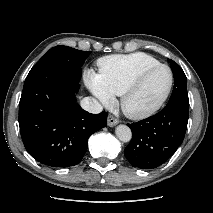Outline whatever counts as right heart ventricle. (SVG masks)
<instances>
[{
    "mask_svg": "<svg viewBox=\"0 0 213 213\" xmlns=\"http://www.w3.org/2000/svg\"><path fill=\"white\" fill-rule=\"evenodd\" d=\"M157 64L159 62L155 58L141 52L111 55L98 61L102 84L113 96L121 95L141 71Z\"/></svg>",
    "mask_w": 213,
    "mask_h": 213,
    "instance_id": "1",
    "label": "right heart ventricle"
}]
</instances>
